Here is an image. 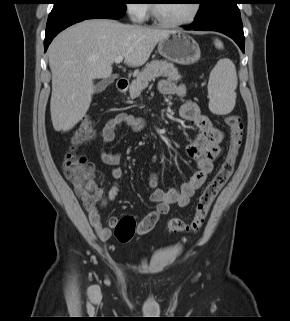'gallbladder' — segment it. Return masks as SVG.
Returning a JSON list of instances; mask_svg holds the SVG:
<instances>
[{
    "label": "gallbladder",
    "instance_id": "1",
    "mask_svg": "<svg viewBox=\"0 0 290 321\" xmlns=\"http://www.w3.org/2000/svg\"><path fill=\"white\" fill-rule=\"evenodd\" d=\"M111 80H112L111 78H108L99 82L95 87V92L100 93L104 91L108 86V84L111 82Z\"/></svg>",
    "mask_w": 290,
    "mask_h": 321
}]
</instances>
